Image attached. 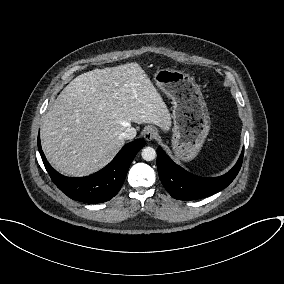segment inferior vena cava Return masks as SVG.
<instances>
[{"label": "inferior vena cava", "instance_id": "inferior-vena-cava-1", "mask_svg": "<svg viewBox=\"0 0 284 284\" xmlns=\"http://www.w3.org/2000/svg\"><path fill=\"white\" fill-rule=\"evenodd\" d=\"M136 129L133 127H128L126 130L121 134L123 139H133L136 136Z\"/></svg>", "mask_w": 284, "mask_h": 284}]
</instances>
